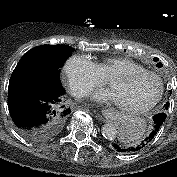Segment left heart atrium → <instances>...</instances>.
<instances>
[{
	"mask_svg": "<svg viewBox=\"0 0 177 177\" xmlns=\"http://www.w3.org/2000/svg\"><path fill=\"white\" fill-rule=\"evenodd\" d=\"M94 99L98 102H107V101L116 102L114 94L111 89L97 92L94 95Z\"/></svg>",
	"mask_w": 177,
	"mask_h": 177,
	"instance_id": "1",
	"label": "left heart atrium"
}]
</instances>
